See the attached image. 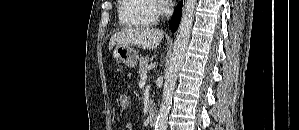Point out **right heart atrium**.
<instances>
[{"instance_id":"d8ad5b80","label":"right heart atrium","mask_w":299,"mask_h":130,"mask_svg":"<svg viewBox=\"0 0 299 130\" xmlns=\"http://www.w3.org/2000/svg\"><path fill=\"white\" fill-rule=\"evenodd\" d=\"M168 5L166 2H163L161 1L158 6H157V15L160 16V15H165L167 12H168Z\"/></svg>"}]
</instances>
